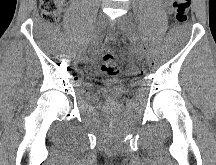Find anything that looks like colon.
<instances>
[{"label":"colon","mask_w":216,"mask_h":165,"mask_svg":"<svg viewBox=\"0 0 216 165\" xmlns=\"http://www.w3.org/2000/svg\"><path fill=\"white\" fill-rule=\"evenodd\" d=\"M65 2L66 0H40L43 19L49 22L57 21ZM190 4L191 0H171L174 18L178 24H182L187 20ZM101 70L107 76H117L121 70L119 57L111 51L106 52L102 58Z\"/></svg>","instance_id":"colon-1"}]
</instances>
